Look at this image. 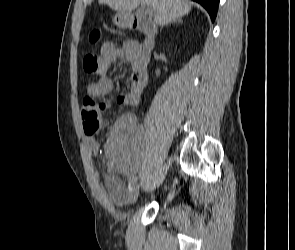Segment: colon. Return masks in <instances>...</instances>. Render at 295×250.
I'll return each mask as SVG.
<instances>
[{
  "label": "colon",
  "instance_id": "colon-1",
  "mask_svg": "<svg viewBox=\"0 0 295 250\" xmlns=\"http://www.w3.org/2000/svg\"><path fill=\"white\" fill-rule=\"evenodd\" d=\"M99 39V33L93 32L91 41L94 43ZM83 68L89 74H97L99 70L98 57L94 54H86L83 58ZM101 107L91 97H85L82 105L83 128L88 136H92L102 128Z\"/></svg>",
  "mask_w": 295,
  "mask_h": 250
}]
</instances>
